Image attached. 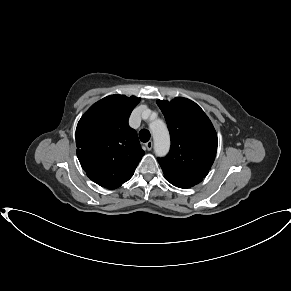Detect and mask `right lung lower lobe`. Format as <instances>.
Segmentation results:
<instances>
[{"label": "right lung lower lobe", "instance_id": "obj_1", "mask_svg": "<svg viewBox=\"0 0 291 291\" xmlns=\"http://www.w3.org/2000/svg\"><path fill=\"white\" fill-rule=\"evenodd\" d=\"M119 186H121V185L105 186V188H108V189H115V188H118Z\"/></svg>", "mask_w": 291, "mask_h": 291}]
</instances>
